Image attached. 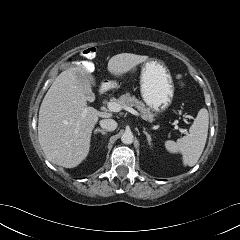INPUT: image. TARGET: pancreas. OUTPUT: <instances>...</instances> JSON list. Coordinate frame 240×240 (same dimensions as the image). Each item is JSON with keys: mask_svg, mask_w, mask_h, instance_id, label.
I'll use <instances>...</instances> for the list:
<instances>
[{"mask_svg": "<svg viewBox=\"0 0 240 240\" xmlns=\"http://www.w3.org/2000/svg\"><path fill=\"white\" fill-rule=\"evenodd\" d=\"M111 102H116L121 106L135 107L140 112V115L144 120L149 122H153L155 120V115L151 112V110L147 108L141 100L137 99L130 93L123 94L118 99H111Z\"/></svg>", "mask_w": 240, "mask_h": 240, "instance_id": "pancreas-1", "label": "pancreas"}]
</instances>
